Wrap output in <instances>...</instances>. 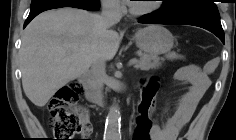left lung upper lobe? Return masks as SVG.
Returning a JSON list of instances; mask_svg holds the SVG:
<instances>
[{
    "label": "left lung upper lobe",
    "mask_w": 236,
    "mask_h": 140,
    "mask_svg": "<svg viewBox=\"0 0 236 140\" xmlns=\"http://www.w3.org/2000/svg\"><path fill=\"white\" fill-rule=\"evenodd\" d=\"M164 16L193 15L220 19L214 0H166L158 11Z\"/></svg>",
    "instance_id": "obj_1"
}]
</instances>
